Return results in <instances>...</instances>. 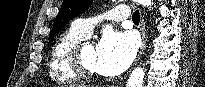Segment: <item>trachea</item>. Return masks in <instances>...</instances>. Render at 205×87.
<instances>
[{
    "instance_id": "obj_1",
    "label": "trachea",
    "mask_w": 205,
    "mask_h": 87,
    "mask_svg": "<svg viewBox=\"0 0 205 87\" xmlns=\"http://www.w3.org/2000/svg\"><path fill=\"white\" fill-rule=\"evenodd\" d=\"M132 20L133 22H140V14H139V10H136L133 15H132Z\"/></svg>"
}]
</instances>
